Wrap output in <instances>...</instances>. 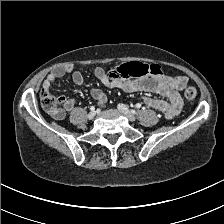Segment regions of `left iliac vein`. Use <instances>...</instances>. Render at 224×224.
Listing matches in <instances>:
<instances>
[{"label": "left iliac vein", "instance_id": "left-iliac-vein-1", "mask_svg": "<svg viewBox=\"0 0 224 224\" xmlns=\"http://www.w3.org/2000/svg\"><path fill=\"white\" fill-rule=\"evenodd\" d=\"M118 110L129 120V121H135L136 117L135 115L124 105V104H118Z\"/></svg>", "mask_w": 224, "mask_h": 224}]
</instances>
